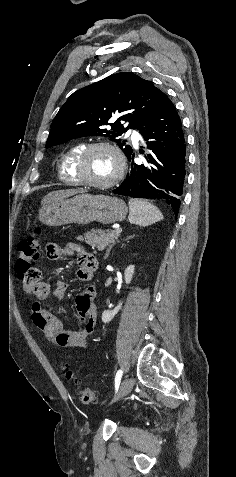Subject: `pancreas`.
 Segmentation results:
<instances>
[{"label": "pancreas", "instance_id": "cf45deb5", "mask_svg": "<svg viewBox=\"0 0 236 477\" xmlns=\"http://www.w3.org/2000/svg\"><path fill=\"white\" fill-rule=\"evenodd\" d=\"M118 237L119 234L108 230L100 232H87L84 234V237L79 236L77 239L80 241H85V243L90 245L92 248H97L99 251H102L106 247H111Z\"/></svg>", "mask_w": 236, "mask_h": 477}]
</instances>
